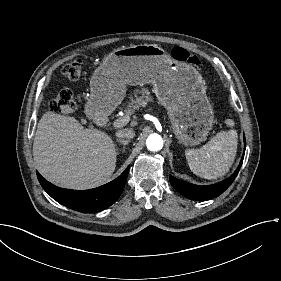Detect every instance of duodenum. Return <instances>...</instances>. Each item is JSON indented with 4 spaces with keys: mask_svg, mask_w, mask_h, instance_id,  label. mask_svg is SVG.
<instances>
[{
    "mask_svg": "<svg viewBox=\"0 0 281 281\" xmlns=\"http://www.w3.org/2000/svg\"><path fill=\"white\" fill-rule=\"evenodd\" d=\"M95 122L100 127H107L110 124V117L107 114H100L96 117Z\"/></svg>",
    "mask_w": 281,
    "mask_h": 281,
    "instance_id": "410a0bca",
    "label": "duodenum"
}]
</instances>
